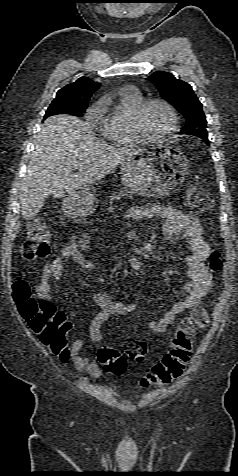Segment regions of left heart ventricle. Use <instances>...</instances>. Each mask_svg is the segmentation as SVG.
<instances>
[{
	"label": "left heart ventricle",
	"instance_id": "left-heart-ventricle-1",
	"mask_svg": "<svg viewBox=\"0 0 238 476\" xmlns=\"http://www.w3.org/2000/svg\"><path fill=\"white\" fill-rule=\"evenodd\" d=\"M171 117L167 109L161 104L150 105L142 119V124L146 132L157 136L163 134L170 126Z\"/></svg>",
	"mask_w": 238,
	"mask_h": 476
}]
</instances>
